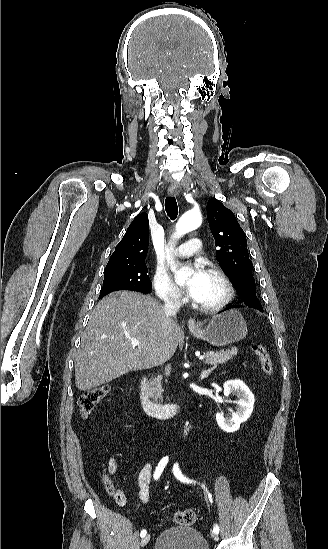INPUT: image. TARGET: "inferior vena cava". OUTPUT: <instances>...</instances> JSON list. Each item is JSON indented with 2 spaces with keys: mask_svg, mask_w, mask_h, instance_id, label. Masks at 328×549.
<instances>
[{
  "mask_svg": "<svg viewBox=\"0 0 328 549\" xmlns=\"http://www.w3.org/2000/svg\"><path fill=\"white\" fill-rule=\"evenodd\" d=\"M164 313L167 317V319H172V317H176L178 311H180L181 303L179 299H166L164 301ZM167 325V323H166ZM165 331H167L165 327Z\"/></svg>",
  "mask_w": 328,
  "mask_h": 549,
  "instance_id": "1",
  "label": "inferior vena cava"
}]
</instances>
